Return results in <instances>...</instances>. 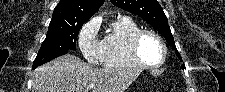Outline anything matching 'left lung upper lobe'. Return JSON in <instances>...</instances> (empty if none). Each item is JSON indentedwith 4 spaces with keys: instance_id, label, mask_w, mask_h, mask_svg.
Returning a JSON list of instances; mask_svg holds the SVG:
<instances>
[{
    "instance_id": "obj_1",
    "label": "left lung upper lobe",
    "mask_w": 225,
    "mask_h": 92,
    "mask_svg": "<svg viewBox=\"0 0 225 92\" xmlns=\"http://www.w3.org/2000/svg\"><path fill=\"white\" fill-rule=\"evenodd\" d=\"M113 5L138 15L150 25H152L161 35L165 37L167 43L176 51V55L181 59L177 51L174 38L168 25L162 7L157 0H110ZM182 61V59H181ZM185 69V65H181Z\"/></svg>"
}]
</instances>
